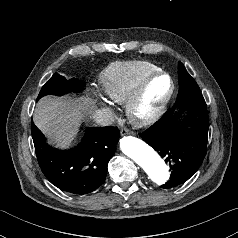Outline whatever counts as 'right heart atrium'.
I'll use <instances>...</instances> for the list:
<instances>
[{
    "instance_id": "obj_1",
    "label": "right heart atrium",
    "mask_w": 238,
    "mask_h": 238,
    "mask_svg": "<svg viewBox=\"0 0 238 238\" xmlns=\"http://www.w3.org/2000/svg\"><path fill=\"white\" fill-rule=\"evenodd\" d=\"M96 103H97L100 107H102V108H104V109H106V110H108V111H112V108H111L110 104L106 101V99H104V98H102V97H97V98H96Z\"/></svg>"
}]
</instances>
